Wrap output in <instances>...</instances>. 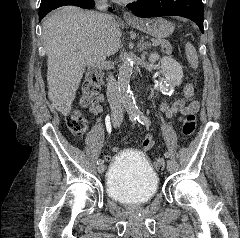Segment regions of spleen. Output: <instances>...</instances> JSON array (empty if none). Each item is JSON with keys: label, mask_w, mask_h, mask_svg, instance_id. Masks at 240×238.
<instances>
[{"label": "spleen", "mask_w": 240, "mask_h": 238, "mask_svg": "<svg viewBox=\"0 0 240 238\" xmlns=\"http://www.w3.org/2000/svg\"><path fill=\"white\" fill-rule=\"evenodd\" d=\"M186 57L193 69L198 68V56L195 47L191 43L185 45Z\"/></svg>", "instance_id": "3e777b00"}]
</instances>
